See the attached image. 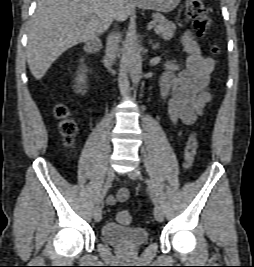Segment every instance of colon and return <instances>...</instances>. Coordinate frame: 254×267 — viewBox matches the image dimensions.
I'll use <instances>...</instances> for the list:
<instances>
[{
	"label": "colon",
	"instance_id": "colon-1",
	"mask_svg": "<svg viewBox=\"0 0 254 267\" xmlns=\"http://www.w3.org/2000/svg\"><path fill=\"white\" fill-rule=\"evenodd\" d=\"M186 13L189 18L193 20L195 31L199 35H204L210 26V20L207 13V7L203 0H187ZM214 54L218 53V48L213 47ZM54 115L59 120V129L64 137L65 144L72 146L74 143V136L77 131L76 123L70 117V110L67 105L59 103L54 107ZM198 151V139L195 132H192L187 140L184 157L185 167L189 168L196 157ZM117 220L123 225H128L132 221V216L128 211H120L117 214Z\"/></svg>",
	"mask_w": 254,
	"mask_h": 267
}]
</instances>
